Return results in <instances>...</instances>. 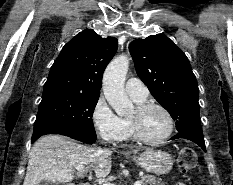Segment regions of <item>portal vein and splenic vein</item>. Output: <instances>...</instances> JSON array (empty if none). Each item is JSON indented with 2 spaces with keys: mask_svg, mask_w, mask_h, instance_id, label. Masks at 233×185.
I'll return each instance as SVG.
<instances>
[{
  "mask_svg": "<svg viewBox=\"0 0 233 185\" xmlns=\"http://www.w3.org/2000/svg\"><path fill=\"white\" fill-rule=\"evenodd\" d=\"M75 169L78 170V171H81V170L84 169V166H83V165H76V166H75ZM100 184H101V185H115V184L110 183V182H102V183H100ZM134 185H142V181H136V182L134 183Z\"/></svg>",
  "mask_w": 233,
  "mask_h": 185,
  "instance_id": "1",
  "label": "portal vein and splenic vein"
}]
</instances>
